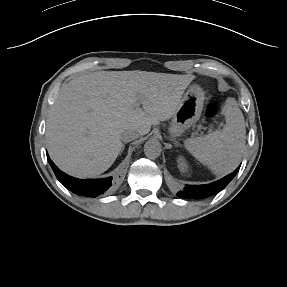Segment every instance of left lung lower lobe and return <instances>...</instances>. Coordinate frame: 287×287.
<instances>
[{
  "label": "left lung lower lobe",
  "instance_id": "0a47b994",
  "mask_svg": "<svg viewBox=\"0 0 287 287\" xmlns=\"http://www.w3.org/2000/svg\"><path fill=\"white\" fill-rule=\"evenodd\" d=\"M239 169L236 170V172ZM236 172L224 177L223 179L207 185L191 186L185 188V191L179 192L178 196L187 199H204L207 198L226 187V185L233 179Z\"/></svg>",
  "mask_w": 287,
  "mask_h": 287
}]
</instances>
